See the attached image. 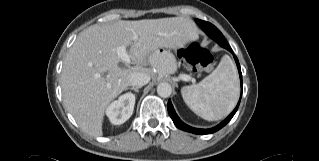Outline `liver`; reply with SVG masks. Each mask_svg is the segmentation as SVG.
Wrapping results in <instances>:
<instances>
[{
  "mask_svg": "<svg viewBox=\"0 0 319 161\" xmlns=\"http://www.w3.org/2000/svg\"><path fill=\"white\" fill-rule=\"evenodd\" d=\"M197 39L196 24L185 17L120 20L88 27L78 35L63 62L61 87L65 107L84 132L101 136L105 109L127 89L131 74H148V64L156 68L151 53L158 48H180ZM119 46L130 47L134 66H119Z\"/></svg>",
  "mask_w": 319,
  "mask_h": 161,
  "instance_id": "liver-1",
  "label": "liver"
}]
</instances>
